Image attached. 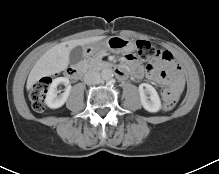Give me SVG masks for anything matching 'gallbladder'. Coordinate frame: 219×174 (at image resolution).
Returning <instances> with one entry per match:
<instances>
[{
  "mask_svg": "<svg viewBox=\"0 0 219 174\" xmlns=\"http://www.w3.org/2000/svg\"><path fill=\"white\" fill-rule=\"evenodd\" d=\"M84 50L81 46L74 47L69 54V62L71 65L78 64L83 58Z\"/></svg>",
  "mask_w": 219,
  "mask_h": 174,
  "instance_id": "1",
  "label": "gallbladder"
}]
</instances>
